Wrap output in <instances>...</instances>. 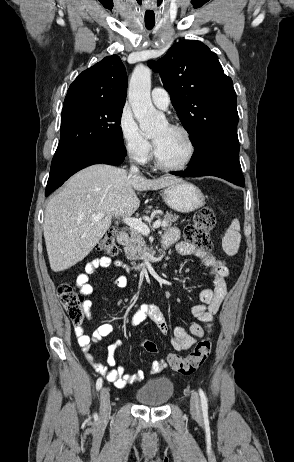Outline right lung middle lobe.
<instances>
[{"label":"right lung middle lobe","mask_w":294,"mask_h":462,"mask_svg":"<svg viewBox=\"0 0 294 462\" xmlns=\"http://www.w3.org/2000/svg\"><path fill=\"white\" fill-rule=\"evenodd\" d=\"M125 102L82 100L64 104L56 151L72 145L123 144L120 127Z\"/></svg>","instance_id":"dd1d6c3e"}]
</instances>
